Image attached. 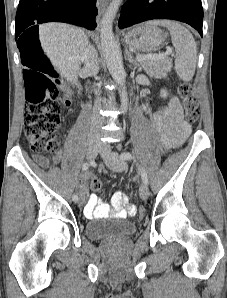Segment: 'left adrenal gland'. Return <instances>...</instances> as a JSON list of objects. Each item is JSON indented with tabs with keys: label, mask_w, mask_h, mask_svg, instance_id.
Masks as SVG:
<instances>
[{
	"label": "left adrenal gland",
	"mask_w": 227,
	"mask_h": 298,
	"mask_svg": "<svg viewBox=\"0 0 227 298\" xmlns=\"http://www.w3.org/2000/svg\"><path fill=\"white\" fill-rule=\"evenodd\" d=\"M126 55L128 57V61L135 67H139L140 64L134 59L131 53L126 49Z\"/></svg>",
	"instance_id": "obj_1"
}]
</instances>
